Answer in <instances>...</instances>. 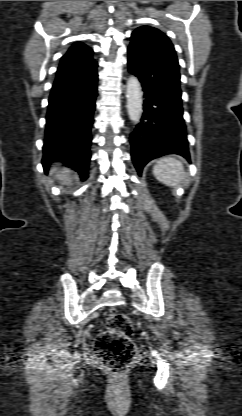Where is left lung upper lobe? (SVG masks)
<instances>
[{
  "mask_svg": "<svg viewBox=\"0 0 242 416\" xmlns=\"http://www.w3.org/2000/svg\"><path fill=\"white\" fill-rule=\"evenodd\" d=\"M132 34L144 35L149 39L162 45L171 54L173 61L179 67L178 59L173 44L168 39V37L164 35L160 30L150 26H142L137 28Z\"/></svg>",
  "mask_w": 242,
  "mask_h": 416,
  "instance_id": "5c2ea615",
  "label": "left lung upper lobe"
}]
</instances>
